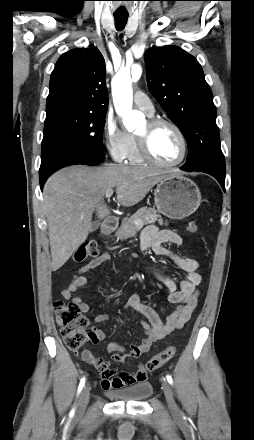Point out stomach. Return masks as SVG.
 Instances as JSON below:
<instances>
[{
  "mask_svg": "<svg viewBox=\"0 0 254 440\" xmlns=\"http://www.w3.org/2000/svg\"><path fill=\"white\" fill-rule=\"evenodd\" d=\"M157 210L170 219L181 220L192 215L201 203L198 186L178 174H167L154 193Z\"/></svg>",
  "mask_w": 254,
  "mask_h": 440,
  "instance_id": "stomach-1",
  "label": "stomach"
}]
</instances>
